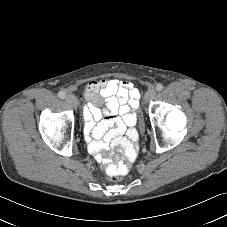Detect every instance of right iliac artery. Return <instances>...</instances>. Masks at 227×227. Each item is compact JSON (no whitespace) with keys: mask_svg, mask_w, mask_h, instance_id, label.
Returning a JSON list of instances; mask_svg holds the SVG:
<instances>
[{"mask_svg":"<svg viewBox=\"0 0 227 227\" xmlns=\"http://www.w3.org/2000/svg\"><path fill=\"white\" fill-rule=\"evenodd\" d=\"M65 96H66V94H65L63 91H60V92L58 93V97L61 98V99H64Z\"/></svg>","mask_w":227,"mask_h":227,"instance_id":"82829eb1","label":"right iliac artery"}]
</instances>
